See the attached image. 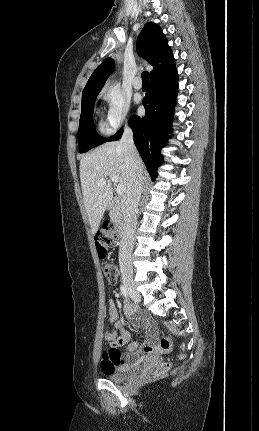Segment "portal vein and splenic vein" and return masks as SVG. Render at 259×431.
<instances>
[{
  "instance_id": "obj_1",
  "label": "portal vein and splenic vein",
  "mask_w": 259,
  "mask_h": 431,
  "mask_svg": "<svg viewBox=\"0 0 259 431\" xmlns=\"http://www.w3.org/2000/svg\"><path fill=\"white\" fill-rule=\"evenodd\" d=\"M110 178H111V180H112V182H114V183H119V178H118V176L117 175H111L110 176ZM102 181H103V179H102ZM116 192L119 194V195H122V194H124L125 192H126V188L124 187V185H122V184H118L117 185V188H116Z\"/></svg>"
}]
</instances>
